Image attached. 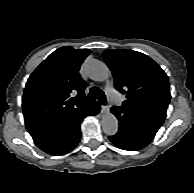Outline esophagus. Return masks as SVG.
<instances>
[{
    "mask_svg": "<svg viewBox=\"0 0 194 193\" xmlns=\"http://www.w3.org/2000/svg\"><path fill=\"white\" fill-rule=\"evenodd\" d=\"M108 111H109V107L108 106L101 105V112L102 113H108Z\"/></svg>",
    "mask_w": 194,
    "mask_h": 193,
    "instance_id": "34e87169",
    "label": "esophagus"
}]
</instances>
